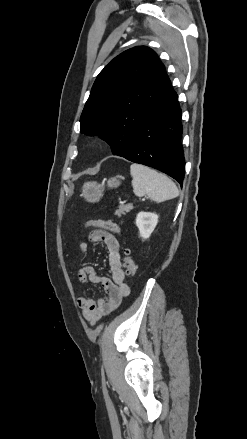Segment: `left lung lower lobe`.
<instances>
[{"mask_svg":"<svg viewBox=\"0 0 247 439\" xmlns=\"http://www.w3.org/2000/svg\"><path fill=\"white\" fill-rule=\"evenodd\" d=\"M175 91L140 124L131 147L122 157L156 168L180 184L184 178V155L180 142L181 109Z\"/></svg>","mask_w":247,"mask_h":439,"instance_id":"left-lung-lower-lobe-1","label":"left lung lower lobe"}]
</instances>
